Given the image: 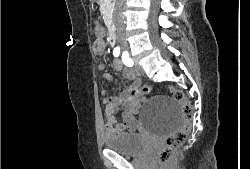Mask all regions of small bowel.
I'll return each instance as SVG.
<instances>
[{"mask_svg":"<svg viewBox=\"0 0 250 169\" xmlns=\"http://www.w3.org/2000/svg\"><path fill=\"white\" fill-rule=\"evenodd\" d=\"M95 35L97 36L94 42L95 53H103L105 50V43L102 40L103 30L99 25L95 26ZM114 69L121 71L123 77L131 82V85L119 95H106L105 101L107 102V107L105 111V129L108 135H113L120 132H134L138 128L137 114L140 109V100L137 98L130 97V91L137 90L141 81L136 78L134 73L130 70L124 69L120 60H115L113 63ZM98 68L104 69L105 64L99 63ZM107 80H111L109 75H106ZM114 103H119V108H114ZM113 110H119L122 116V121H117L116 115H113Z\"/></svg>","mask_w":250,"mask_h":169,"instance_id":"obj_1","label":"small bowel"}]
</instances>
